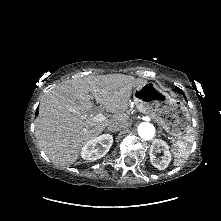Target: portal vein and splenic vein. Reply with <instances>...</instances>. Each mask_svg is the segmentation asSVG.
<instances>
[{
    "label": "portal vein and splenic vein",
    "instance_id": "obj_1",
    "mask_svg": "<svg viewBox=\"0 0 221 221\" xmlns=\"http://www.w3.org/2000/svg\"><path fill=\"white\" fill-rule=\"evenodd\" d=\"M90 117H92L93 119H95V120H97V121H102V120H104L105 119V116L103 115V114H101V113H99V114H97L96 116H90Z\"/></svg>",
    "mask_w": 221,
    "mask_h": 221
}]
</instances>
